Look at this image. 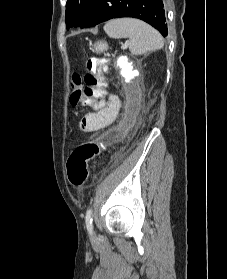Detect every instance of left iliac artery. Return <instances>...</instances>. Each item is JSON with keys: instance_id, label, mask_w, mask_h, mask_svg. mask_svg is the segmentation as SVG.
I'll return each mask as SVG.
<instances>
[{"instance_id": "1", "label": "left iliac artery", "mask_w": 227, "mask_h": 279, "mask_svg": "<svg viewBox=\"0 0 227 279\" xmlns=\"http://www.w3.org/2000/svg\"><path fill=\"white\" fill-rule=\"evenodd\" d=\"M85 222H86V227H87L88 232L90 234H92L93 224H92V210H91V208H89L86 212Z\"/></svg>"}]
</instances>
